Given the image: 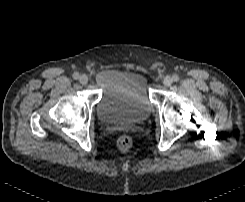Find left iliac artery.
I'll return each mask as SVG.
<instances>
[{"label": "left iliac artery", "instance_id": "44dca946", "mask_svg": "<svg viewBox=\"0 0 245 202\" xmlns=\"http://www.w3.org/2000/svg\"><path fill=\"white\" fill-rule=\"evenodd\" d=\"M172 79H173L174 82H177V81H179V76L178 75H173Z\"/></svg>", "mask_w": 245, "mask_h": 202}]
</instances>
